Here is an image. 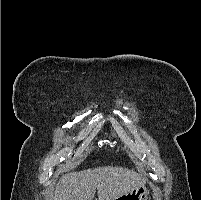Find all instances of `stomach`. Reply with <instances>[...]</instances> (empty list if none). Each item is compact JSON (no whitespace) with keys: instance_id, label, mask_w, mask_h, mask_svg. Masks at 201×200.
<instances>
[{"instance_id":"0dacf381","label":"stomach","mask_w":201,"mask_h":200,"mask_svg":"<svg viewBox=\"0 0 201 200\" xmlns=\"http://www.w3.org/2000/svg\"><path fill=\"white\" fill-rule=\"evenodd\" d=\"M148 190L145 185H140L131 191L116 197L114 200H147Z\"/></svg>"}]
</instances>
